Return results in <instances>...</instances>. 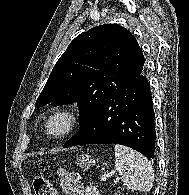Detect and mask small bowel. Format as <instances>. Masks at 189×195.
Wrapping results in <instances>:
<instances>
[{"mask_svg": "<svg viewBox=\"0 0 189 195\" xmlns=\"http://www.w3.org/2000/svg\"><path fill=\"white\" fill-rule=\"evenodd\" d=\"M85 195H99V191L94 186H89L86 188Z\"/></svg>", "mask_w": 189, "mask_h": 195, "instance_id": "1", "label": "small bowel"}]
</instances>
